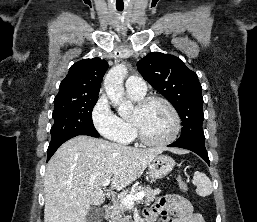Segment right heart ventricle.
<instances>
[{
    "label": "right heart ventricle",
    "instance_id": "obj_1",
    "mask_svg": "<svg viewBox=\"0 0 257 222\" xmlns=\"http://www.w3.org/2000/svg\"><path fill=\"white\" fill-rule=\"evenodd\" d=\"M128 95H129V98L135 102L140 101L143 98V96H137V95L130 94V93H128ZM120 119L127 127H129L131 129V135H132L133 128H132L129 117L121 116Z\"/></svg>",
    "mask_w": 257,
    "mask_h": 222
}]
</instances>
